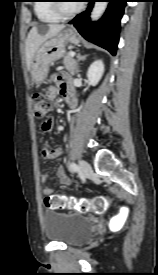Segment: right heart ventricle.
Instances as JSON below:
<instances>
[{
    "label": "right heart ventricle",
    "mask_w": 158,
    "mask_h": 275,
    "mask_svg": "<svg viewBox=\"0 0 158 275\" xmlns=\"http://www.w3.org/2000/svg\"><path fill=\"white\" fill-rule=\"evenodd\" d=\"M52 0H39L35 5V11L37 17L47 23H55L61 20L52 8Z\"/></svg>",
    "instance_id": "right-heart-ventricle-1"
}]
</instances>
